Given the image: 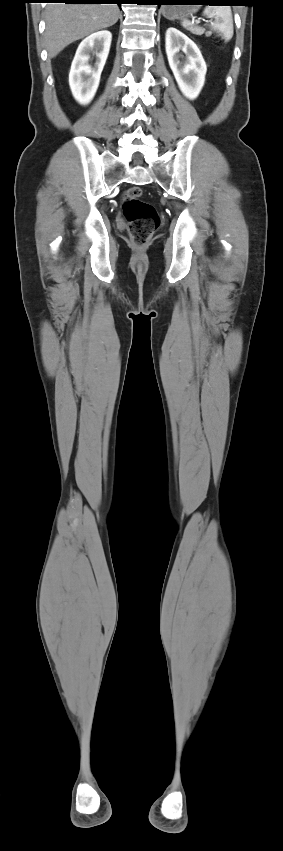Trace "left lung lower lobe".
I'll use <instances>...</instances> for the list:
<instances>
[{
    "instance_id": "0a47b994",
    "label": "left lung lower lobe",
    "mask_w": 283,
    "mask_h": 851,
    "mask_svg": "<svg viewBox=\"0 0 283 851\" xmlns=\"http://www.w3.org/2000/svg\"><path fill=\"white\" fill-rule=\"evenodd\" d=\"M177 0H153L156 5H164L167 3H177ZM198 3H205L207 5H217V4H229L232 3V0H198ZM210 3V4H209Z\"/></svg>"
}]
</instances>
